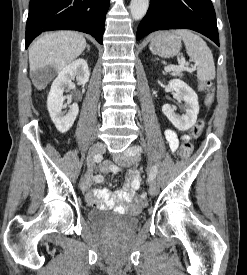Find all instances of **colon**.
Here are the masks:
<instances>
[{"instance_id":"1","label":"colon","mask_w":247,"mask_h":275,"mask_svg":"<svg viewBox=\"0 0 247 275\" xmlns=\"http://www.w3.org/2000/svg\"><path fill=\"white\" fill-rule=\"evenodd\" d=\"M200 89L206 93V99H205V104L206 106H211L213 101H214V90L210 82L208 81H202L200 82ZM204 128V122L202 120H199L189 131V135L191 137H198ZM193 151V147L191 142L188 140H185L181 147L180 150L177 154L178 160H185L187 159ZM137 204L140 207H144L147 203L146 199V194L144 192L140 193L137 198Z\"/></svg>"}]
</instances>
